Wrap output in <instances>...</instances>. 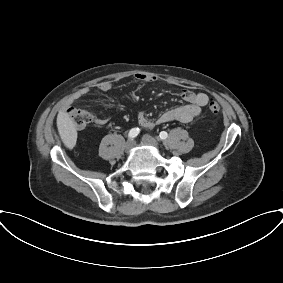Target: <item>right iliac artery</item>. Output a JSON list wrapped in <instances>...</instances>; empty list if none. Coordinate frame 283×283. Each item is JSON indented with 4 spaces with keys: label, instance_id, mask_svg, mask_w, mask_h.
Returning <instances> with one entry per match:
<instances>
[{
    "label": "right iliac artery",
    "instance_id": "obj_1",
    "mask_svg": "<svg viewBox=\"0 0 283 283\" xmlns=\"http://www.w3.org/2000/svg\"><path fill=\"white\" fill-rule=\"evenodd\" d=\"M140 133V129L137 127V128H132L130 131H129V134H128V137L130 139H134L135 137H137V135Z\"/></svg>",
    "mask_w": 283,
    "mask_h": 283
}]
</instances>
